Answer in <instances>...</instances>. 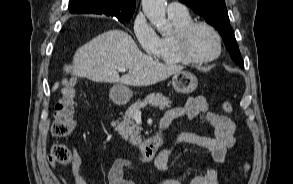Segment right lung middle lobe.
<instances>
[{
	"instance_id": "right-lung-middle-lobe-1",
	"label": "right lung middle lobe",
	"mask_w": 293,
	"mask_h": 184,
	"mask_svg": "<svg viewBox=\"0 0 293 184\" xmlns=\"http://www.w3.org/2000/svg\"><path fill=\"white\" fill-rule=\"evenodd\" d=\"M117 19L123 23V22L129 21L131 19V16L118 17Z\"/></svg>"
}]
</instances>
